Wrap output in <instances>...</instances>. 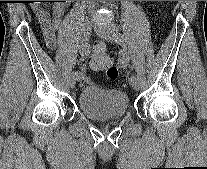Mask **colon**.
I'll return each instance as SVG.
<instances>
[{"mask_svg": "<svg viewBox=\"0 0 207 169\" xmlns=\"http://www.w3.org/2000/svg\"><path fill=\"white\" fill-rule=\"evenodd\" d=\"M90 66L94 71L106 73L107 77L112 80L118 77V69L114 66L111 57L107 54L103 45L95 47Z\"/></svg>", "mask_w": 207, "mask_h": 169, "instance_id": "colon-1", "label": "colon"}]
</instances>
